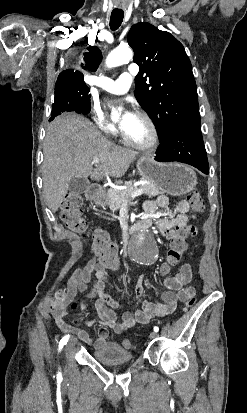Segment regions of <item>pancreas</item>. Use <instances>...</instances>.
Wrapping results in <instances>:
<instances>
[{
  "instance_id": "pancreas-1",
  "label": "pancreas",
  "mask_w": 247,
  "mask_h": 413,
  "mask_svg": "<svg viewBox=\"0 0 247 413\" xmlns=\"http://www.w3.org/2000/svg\"><path fill=\"white\" fill-rule=\"evenodd\" d=\"M133 182H139V180H125L123 186H127V188H122V190H119V188H108L106 194L109 198V209H111V211H117V209H120L123 202H130L132 198V196H130L131 192L137 190V188L133 186ZM148 182H145V184H138V188L144 190L145 194H149V196L163 194L157 186H154V184H148Z\"/></svg>"
}]
</instances>
